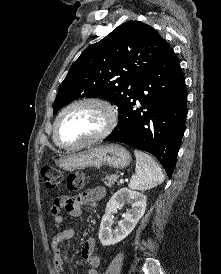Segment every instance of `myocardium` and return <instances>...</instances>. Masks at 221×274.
Segmentation results:
<instances>
[{"label":"myocardium","instance_id":"1","mask_svg":"<svg viewBox=\"0 0 221 274\" xmlns=\"http://www.w3.org/2000/svg\"><path fill=\"white\" fill-rule=\"evenodd\" d=\"M80 105H95L100 107L106 117V122L103 127V129L97 133L96 135L92 136L91 138H88L82 142L76 143V144H66L60 141L58 137V128H59V123L62 119V117L72 108L80 106ZM118 122V113L116 108L113 106L112 103L109 101L102 99V98H97V97H85L81 99H77L71 103H69L67 106H65L58 116L55 119L54 122V127H53V140L54 142L61 148L64 149H79L91 144H94L96 142H99L106 138L116 127Z\"/></svg>","mask_w":221,"mask_h":274}]
</instances>
